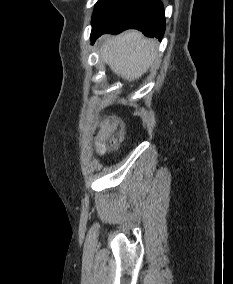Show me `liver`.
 <instances>
[{
	"label": "liver",
	"instance_id": "liver-1",
	"mask_svg": "<svg viewBox=\"0 0 233 284\" xmlns=\"http://www.w3.org/2000/svg\"><path fill=\"white\" fill-rule=\"evenodd\" d=\"M157 43L136 30L118 36H105L101 58L110 69L129 82L139 79L156 57Z\"/></svg>",
	"mask_w": 233,
	"mask_h": 284
}]
</instances>
